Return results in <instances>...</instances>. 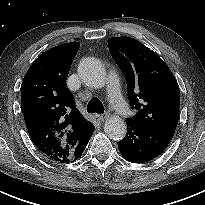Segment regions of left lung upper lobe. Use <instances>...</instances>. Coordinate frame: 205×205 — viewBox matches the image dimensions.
I'll list each match as a JSON object with an SVG mask.
<instances>
[{"instance_id":"left-lung-upper-lobe-1","label":"left lung upper lobe","mask_w":205,"mask_h":205,"mask_svg":"<svg viewBox=\"0 0 205 205\" xmlns=\"http://www.w3.org/2000/svg\"><path fill=\"white\" fill-rule=\"evenodd\" d=\"M114 61L127 80L128 99L136 115L126 121L175 131L179 119L180 92L165 62L130 37L108 39Z\"/></svg>"}]
</instances>
